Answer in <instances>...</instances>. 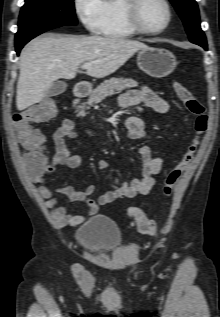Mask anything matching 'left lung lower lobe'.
I'll return each mask as SVG.
<instances>
[{"instance_id":"obj_1","label":"left lung lower lobe","mask_w":220,"mask_h":317,"mask_svg":"<svg viewBox=\"0 0 220 317\" xmlns=\"http://www.w3.org/2000/svg\"><path fill=\"white\" fill-rule=\"evenodd\" d=\"M199 45V44H198ZM200 46H202L205 50H207V44H203V43H200Z\"/></svg>"}]
</instances>
